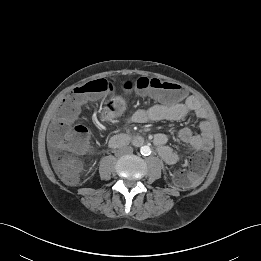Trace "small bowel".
<instances>
[{
    "label": "small bowel",
    "mask_w": 261,
    "mask_h": 261,
    "mask_svg": "<svg viewBox=\"0 0 261 261\" xmlns=\"http://www.w3.org/2000/svg\"><path fill=\"white\" fill-rule=\"evenodd\" d=\"M189 113H194L200 119V133H195L189 128H183L178 132L179 140L191 150H210L213 146L212 128L206 120L204 107L194 96L188 97L183 103L179 104H154L148 108L139 109L132 114L130 120L135 123L179 121ZM167 140L164 133L155 134L153 139L161 158L168 164H176L180 160V155L167 144Z\"/></svg>",
    "instance_id": "obj_1"
}]
</instances>
